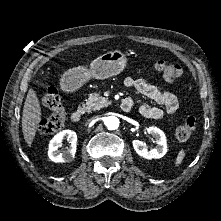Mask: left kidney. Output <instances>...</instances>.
Segmentation results:
<instances>
[{
    "label": "left kidney",
    "instance_id": "1",
    "mask_svg": "<svg viewBox=\"0 0 221 221\" xmlns=\"http://www.w3.org/2000/svg\"><path fill=\"white\" fill-rule=\"evenodd\" d=\"M148 133L156 140L157 148L148 150L145 144L140 140H133L132 144L136 153L145 159H159L167 152L166 136L162 130L151 126L148 128Z\"/></svg>",
    "mask_w": 221,
    "mask_h": 221
}]
</instances>
